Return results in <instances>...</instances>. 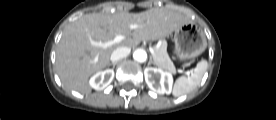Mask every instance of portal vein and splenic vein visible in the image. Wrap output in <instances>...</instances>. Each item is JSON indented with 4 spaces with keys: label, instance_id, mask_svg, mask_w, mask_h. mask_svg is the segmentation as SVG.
Returning a JSON list of instances; mask_svg holds the SVG:
<instances>
[{
    "label": "portal vein and splenic vein",
    "instance_id": "obj_1",
    "mask_svg": "<svg viewBox=\"0 0 276 120\" xmlns=\"http://www.w3.org/2000/svg\"><path fill=\"white\" fill-rule=\"evenodd\" d=\"M131 28L134 29V28H136V26H135V25H132ZM123 39H124V36H122V35H117V36H115L114 39L111 40V41H107V42L92 41L91 44H92L93 46H98V47H101V48H107V47H109V46H111V45H113V44H116V43L121 42ZM150 52H151V54L153 55V54H154V49H153V48H150Z\"/></svg>",
    "mask_w": 276,
    "mask_h": 120
}]
</instances>
